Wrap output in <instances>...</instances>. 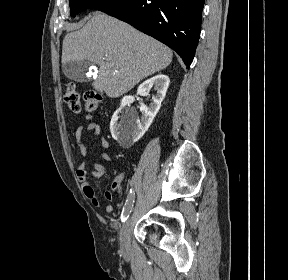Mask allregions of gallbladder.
Listing matches in <instances>:
<instances>
[{"label":"gallbladder","instance_id":"gallbladder-1","mask_svg":"<svg viewBox=\"0 0 288 280\" xmlns=\"http://www.w3.org/2000/svg\"><path fill=\"white\" fill-rule=\"evenodd\" d=\"M87 60H71L62 65L64 75L75 82H86V72L89 68Z\"/></svg>","mask_w":288,"mask_h":280}]
</instances>
